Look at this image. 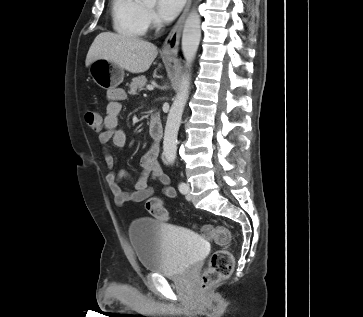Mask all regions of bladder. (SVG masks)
Listing matches in <instances>:
<instances>
[{
    "label": "bladder",
    "mask_w": 363,
    "mask_h": 317,
    "mask_svg": "<svg viewBox=\"0 0 363 317\" xmlns=\"http://www.w3.org/2000/svg\"><path fill=\"white\" fill-rule=\"evenodd\" d=\"M129 234L142 269L163 276L184 273L208 252L201 233L159 220L134 221Z\"/></svg>",
    "instance_id": "obj_1"
}]
</instances>
